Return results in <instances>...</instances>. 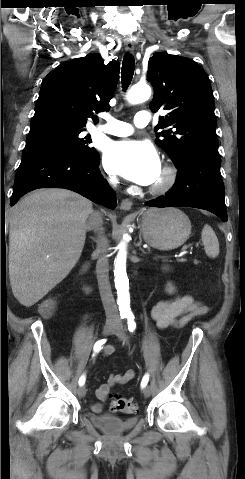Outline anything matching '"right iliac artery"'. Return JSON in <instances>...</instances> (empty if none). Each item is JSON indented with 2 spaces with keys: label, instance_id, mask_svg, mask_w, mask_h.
I'll list each match as a JSON object with an SVG mask.
<instances>
[{
  "label": "right iliac artery",
  "instance_id": "82829eb1",
  "mask_svg": "<svg viewBox=\"0 0 245 479\" xmlns=\"http://www.w3.org/2000/svg\"><path fill=\"white\" fill-rule=\"evenodd\" d=\"M105 342H106L105 339H101V340L97 341L94 345V352L98 353L103 348L102 346ZM85 380H86L85 375H82L79 379V382H78L79 385L83 386L84 383H85Z\"/></svg>",
  "mask_w": 245,
  "mask_h": 479
}]
</instances>
